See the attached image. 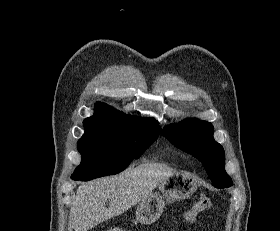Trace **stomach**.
I'll use <instances>...</instances> for the list:
<instances>
[{"label":"stomach","mask_w":280,"mask_h":231,"mask_svg":"<svg viewBox=\"0 0 280 231\" xmlns=\"http://www.w3.org/2000/svg\"><path fill=\"white\" fill-rule=\"evenodd\" d=\"M197 189L194 175L188 171H175L173 175L161 181L158 191H151L146 199H142L136 209V219L139 223H154L159 219L165 201H178L186 199Z\"/></svg>","instance_id":"0dacf381"}]
</instances>
